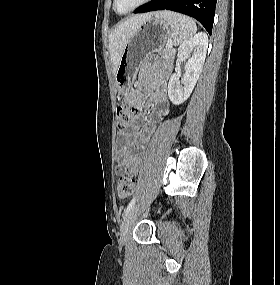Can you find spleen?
<instances>
[{"label":"spleen","mask_w":280,"mask_h":285,"mask_svg":"<svg viewBox=\"0 0 280 285\" xmlns=\"http://www.w3.org/2000/svg\"><path fill=\"white\" fill-rule=\"evenodd\" d=\"M156 17L165 19L173 31V40L175 44H182L191 38L197 31L196 23L190 17L171 12L161 11Z\"/></svg>","instance_id":"3e777b00"}]
</instances>
